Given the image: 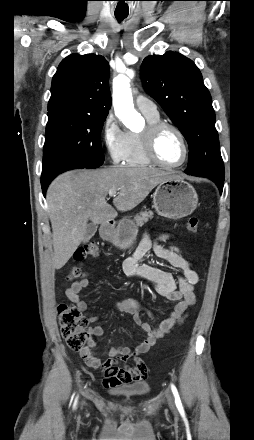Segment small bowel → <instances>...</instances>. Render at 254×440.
I'll return each instance as SVG.
<instances>
[{"mask_svg": "<svg viewBox=\"0 0 254 440\" xmlns=\"http://www.w3.org/2000/svg\"><path fill=\"white\" fill-rule=\"evenodd\" d=\"M169 235L164 234L160 240H166ZM155 255L179 269L181 274L175 277L172 273L148 264H140V261L150 250ZM123 272L130 278H141L151 282L157 293L169 301L175 302L172 312L162 320L156 327H153L141 319V313L146 312L150 317L152 313L148 311L135 298H125L116 303V309L120 312L132 315L134 322L143 330L145 337L135 348L130 349L125 346H110L101 355H108L111 358L119 357L121 360L134 358L132 367L122 368L113 359L101 362L95 352L96 342L94 337H101L104 334L102 326L95 325L89 330L87 346L80 351V357L90 367H101L104 374L103 384L106 387H115L123 383L141 382L147 378V366L138 358L139 355L146 353L155 341L169 333L175 326L182 324L190 306L195 303L194 286L199 281L197 272L192 267L191 262L183 255L177 246H163L154 242L146 234L132 256L124 260L122 264ZM89 285L86 278L73 282L65 291V296L77 307L80 312L87 310L88 305L83 301L79 293ZM98 316H90L92 323L99 321Z\"/></svg>", "mask_w": 254, "mask_h": 440, "instance_id": "small-bowel-1", "label": "small bowel"}]
</instances>
